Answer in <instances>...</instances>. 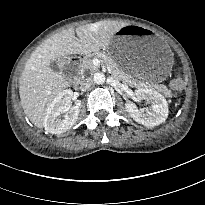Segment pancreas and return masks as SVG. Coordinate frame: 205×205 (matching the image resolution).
Segmentation results:
<instances>
[{"label": "pancreas", "instance_id": "obj_1", "mask_svg": "<svg viewBox=\"0 0 205 205\" xmlns=\"http://www.w3.org/2000/svg\"><path fill=\"white\" fill-rule=\"evenodd\" d=\"M94 58L99 59L102 63H104L110 69L112 76L117 80H121L124 83L132 86H141V84L137 83L131 76L119 69L114 60L105 53L98 52L88 55L82 62L83 67L90 69L92 72L96 71L97 67L93 64Z\"/></svg>", "mask_w": 205, "mask_h": 205}]
</instances>
